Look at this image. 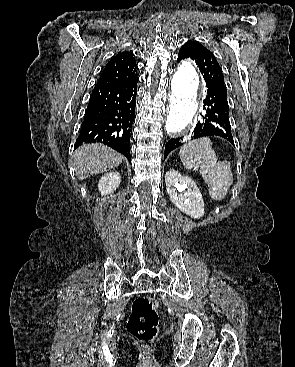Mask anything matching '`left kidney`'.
I'll return each mask as SVG.
<instances>
[{"label":"left kidney","instance_id":"5707ae66","mask_svg":"<svg viewBox=\"0 0 295 367\" xmlns=\"http://www.w3.org/2000/svg\"><path fill=\"white\" fill-rule=\"evenodd\" d=\"M167 193L172 203L186 215L201 218L204 215V201L195 182L182 176L176 170H170L165 175ZM182 192L178 194V192Z\"/></svg>","mask_w":295,"mask_h":367}]
</instances>
